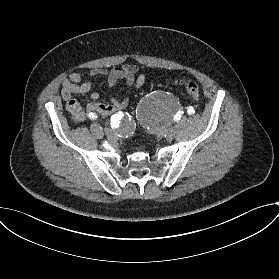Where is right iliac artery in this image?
I'll return each mask as SVG.
<instances>
[{"mask_svg": "<svg viewBox=\"0 0 279 279\" xmlns=\"http://www.w3.org/2000/svg\"><path fill=\"white\" fill-rule=\"evenodd\" d=\"M86 117H90L91 119H95V120H100L101 116L100 115H94L92 112H86L85 113ZM119 120H120V116L118 114H115L111 117V127L112 128H118L119 127Z\"/></svg>", "mask_w": 279, "mask_h": 279, "instance_id": "right-iliac-artery-1", "label": "right iliac artery"}]
</instances>
